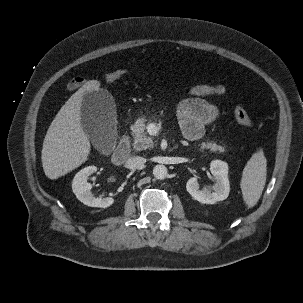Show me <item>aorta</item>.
I'll return each instance as SVG.
<instances>
[{
	"mask_svg": "<svg viewBox=\"0 0 303 303\" xmlns=\"http://www.w3.org/2000/svg\"><path fill=\"white\" fill-rule=\"evenodd\" d=\"M153 175L158 180H163L167 177L168 171L164 165H156L153 168Z\"/></svg>",
	"mask_w": 303,
	"mask_h": 303,
	"instance_id": "obj_1",
	"label": "aorta"
}]
</instances>
